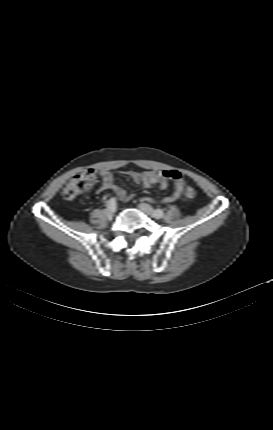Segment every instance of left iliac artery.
<instances>
[{
  "mask_svg": "<svg viewBox=\"0 0 273 430\" xmlns=\"http://www.w3.org/2000/svg\"><path fill=\"white\" fill-rule=\"evenodd\" d=\"M154 213L158 219L163 217V211L160 209L154 210Z\"/></svg>",
  "mask_w": 273,
  "mask_h": 430,
  "instance_id": "obj_1",
  "label": "left iliac artery"
}]
</instances>
